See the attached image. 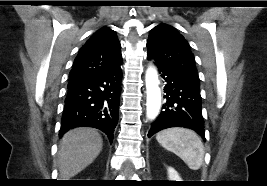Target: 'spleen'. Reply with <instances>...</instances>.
<instances>
[{"label": "spleen", "instance_id": "3e777b00", "mask_svg": "<svg viewBox=\"0 0 267 186\" xmlns=\"http://www.w3.org/2000/svg\"><path fill=\"white\" fill-rule=\"evenodd\" d=\"M158 143L180 157L191 170L203 164L204 145L199 136L190 129L169 128L156 135Z\"/></svg>", "mask_w": 267, "mask_h": 186}]
</instances>
